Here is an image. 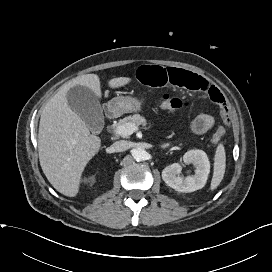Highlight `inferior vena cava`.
<instances>
[{"label":"inferior vena cava","instance_id":"1","mask_svg":"<svg viewBox=\"0 0 272 272\" xmlns=\"http://www.w3.org/2000/svg\"><path fill=\"white\" fill-rule=\"evenodd\" d=\"M131 144L128 141L120 140L112 144L111 148L114 152H123L130 148Z\"/></svg>","mask_w":272,"mask_h":272}]
</instances>
